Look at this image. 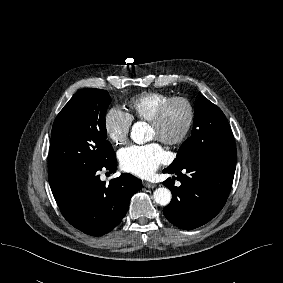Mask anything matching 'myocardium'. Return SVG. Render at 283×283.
<instances>
[{"instance_id":"myocardium-1","label":"myocardium","mask_w":283,"mask_h":283,"mask_svg":"<svg viewBox=\"0 0 283 283\" xmlns=\"http://www.w3.org/2000/svg\"><path fill=\"white\" fill-rule=\"evenodd\" d=\"M175 104H181L185 107L186 110V121L185 124L180 131L174 137H167L164 135H160L157 139L167 145H179L183 143L187 137L189 136L194 122H195V107L190 99L185 96H171L166 101H164L159 108L157 109L153 118L149 121L150 125L155 128L159 133H162V129L164 126L165 119L170 108Z\"/></svg>"}]
</instances>
